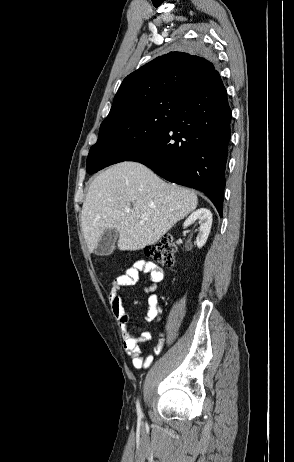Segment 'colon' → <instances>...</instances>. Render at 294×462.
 Returning a JSON list of instances; mask_svg holds the SVG:
<instances>
[{
  "instance_id": "obj_1",
  "label": "colon",
  "mask_w": 294,
  "mask_h": 462,
  "mask_svg": "<svg viewBox=\"0 0 294 462\" xmlns=\"http://www.w3.org/2000/svg\"><path fill=\"white\" fill-rule=\"evenodd\" d=\"M176 244L169 235L161 237L157 242L147 246L145 253L153 259L154 262L165 266L172 267L175 262Z\"/></svg>"
}]
</instances>
